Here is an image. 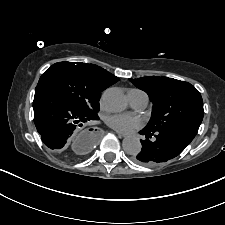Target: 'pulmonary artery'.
Returning <instances> with one entry per match:
<instances>
[{
    "instance_id": "e3ab8cb5",
    "label": "pulmonary artery",
    "mask_w": 225,
    "mask_h": 225,
    "mask_svg": "<svg viewBox=\"0 0 225 225\" xmlns=\"http://www.w3.org/2000/svg\"><path fill=\"white\" fill-rule=\"evenodd\" d=\"M130 105L138 110L144 109L149 102L148 95L139 90V89H131L127 93Z\"/></svg>"
}]
</instances>
